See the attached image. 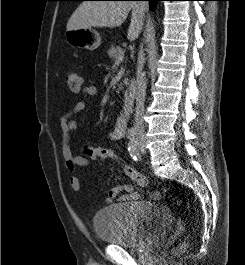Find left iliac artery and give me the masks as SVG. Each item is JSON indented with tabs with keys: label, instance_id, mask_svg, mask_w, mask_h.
<instances>
[{
	"label": "left iliac artery",
	"instance_id": "obj_1",
	"mask_svg": "<svg viewBox=\"0 0 245 265\" xmlns=\"http://www.w3.org/2000/svg\"><path fill=\"white\" fill-rule=\"evenodd\" d=\"M128 151L130 153V156L136 161L139 158V152L136 148V141L134 138L130 139L128 143Z\"/></svg>",
	"mask_w": 245,
	"mask_h": 265
}]
</instances>
